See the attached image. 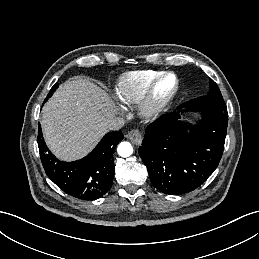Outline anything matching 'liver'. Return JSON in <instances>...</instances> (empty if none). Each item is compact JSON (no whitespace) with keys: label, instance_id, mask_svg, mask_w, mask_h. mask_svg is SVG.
I'll use <instances>...</instances> for the list:
<instances>
[{"label":"liver","instance_id":"1","mask_svg":"<svg viewBox=\"0 0 259 259\" xmlns=\"http://www.w3.org/2000/svg\"><path fill=\"white\" fill-rule=\"evenodd\" d=\"M116 114L117 107L104 90L77 76L61 84L44 105L43 135L61 160L80 159L108 132Z\"/></svg>","mask_w":259,"mask_h":259}]
</instances>
